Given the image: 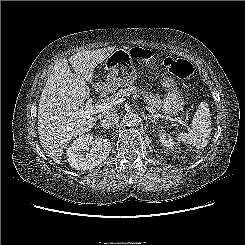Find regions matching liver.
I'll use <instances>...</instances> for the list:
<instances>
[{
    "mask_svg": "<svg viewBox=\"0 0 245 245\" xmlns=\"http://www.w3.org/2000/svg\"><path fill=\"white\" fill-rule=\"evenodd\" d=\"M114 50L115 47H106L72 55L68 60L75 73L66 58L55 62L40 96L37 123L41 145L55 163L61 162L63 150L72 139L89 132L97 119L108 113L105 110L96 117L74 116L89 96L87 81L92 82L96 66Z\"/></svg>",
    "mask_w": 245,
    "mask_h": 245,
    "instance_id": "6515ba94",
    "label": "liver"
}]
</instances>
